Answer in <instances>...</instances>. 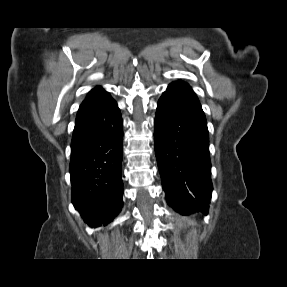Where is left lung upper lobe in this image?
I'll return each mask as SVG.
<instances>
[{
	"label": "left lung upper lobe",
	"instance_id": "1",
	"mask_svg": "<svg viewBox=\"0 0 287 287\" xmlns=\"http://www.w3.org/2000/svg\"><path fill=\"white\" fill-rule=\"evenodd\" d=\"M172 84H175L178 87H180L194 104L201 107L200 102H199L198 98L196 97L194 91L192 90V88L187 83H185L183 81H176V82H173Z\"/></svg>",
	"mask_w": 287,
	"mask_h": 287
}]
</instances>
